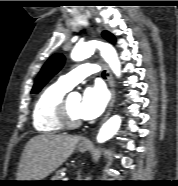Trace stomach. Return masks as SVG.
<instances>
[{"label":"stomach","instance_id":"0dacf381","mask_svg":"<svg viewBox=\"0 0 178 186\" xmlns=\"http://www.w3.org/2000/svg\"><path fill=\"white\" fill-rule=\"evenodd\" d=\"M89 149V144L88 143H80L78 145V150L82 153H84L85 151H87ZM41 181V180H38Z\"/></svg>","mask_w":178,"mask_h":186}]
</instances>
